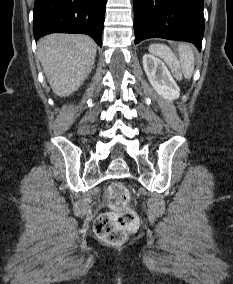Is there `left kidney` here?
<instances>
[{"label": "left kidney", "instance_id": "5707ae66", "mask_svg": "<svg viewBox=\"0 0 233 284\" xmlns=\"http://www.w3.org/2000/svg\"><path fill=\"white\" fill-rule=\"evenodd\" d=\"M143 67L149 82L155 91L168 101L180 95V89L166 65L152 54L143 56Z\"/></svg>", "mask_w": 233, "mask_h": 284}]
</instances>
